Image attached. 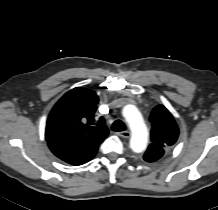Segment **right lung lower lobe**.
<instances>
[{
  "label": "right lung lower lobe",
  "instance_id": "1",
  "mask_svg": "<svg viewBox=\"0 0 218 210\" xmlns=\"http://www.w3.org/2000/svg\"><path fill=\"white\" fill-rule=\"evenodd\" d=\"M50 150L59 159L71 164V165H82L90 161L97 153L98 149H78L71 146L48 143Z\"/></svg>",
  "mask_w": 218,
  "mask_h": 210
}]
</instances>
